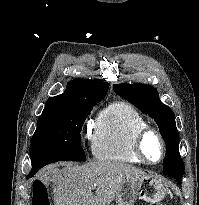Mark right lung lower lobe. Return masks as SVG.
<instances>
[{
  "label": "right lung lower lobe",
  "instance_id": "1",
  "mask_svg": "<svg viewBox=\"0 0 199 205\" xmlns=\"http://www.w3.org/2000/svg\"><path fill=\"white\" fill-rule=\"evenodd\" d=\"M31 177H32L31 175H28V176H27V178H31Z\"/></svg>",
  "mask_w": 199,
  "mask_h": 205
}]
</instances>
